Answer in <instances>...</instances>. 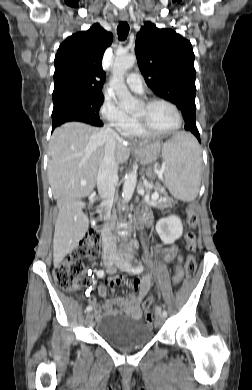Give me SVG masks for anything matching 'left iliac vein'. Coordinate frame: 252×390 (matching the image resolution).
Instances as JSON below:
<instances>
[{"instance_id":"1","label":"left iliac vein","mask_w":252,"mask_h":390,"mask_svg":"<svg viewBox=\"0 0 252 390\" xmlns=\"http://www.w3.org/2000/svg\"><path fill=\"white\" fill-rule=\"evenodd\" d=\"M116 266L121 269L122 271H125V272H128V273H131V269H132V266L128 260V258L126 257H123V256H118L116 258V262H115ZM157 316L159 318V320H164L165 319V316L161 314V311L160 310H157Z\"/></svg>"}]
</instances>
